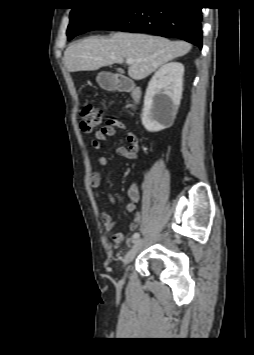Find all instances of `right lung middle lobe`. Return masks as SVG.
I'll return each mask as SVG.
<instances>
[{
	"label": "right lung middle lobe",
	"instance_id": "obj_1",
	"mask_svg": "<svg viewBox=\"0 0 254 355\" xmlns=\"http://www.w3.org/2000/svg\"><path fill=\"white\" fill-rule=\"evenodd\" d=\"M127 3L118 0H91L84 6L73 8L67 29L68 40L76 35L98 29Z\"/></svg>",
	"mask_w": 254,
	"mask_h": 355
}]
</instances>
